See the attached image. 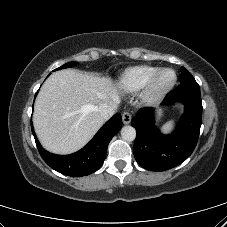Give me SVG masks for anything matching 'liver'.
I'll return each mask as SVG.
<instances>
[{
  "instance_id": "liver-1",
  "label": "liver",
  "mask_w": 227,
  "mask_h": 227,
  "mask_svg": "<svg viewBox=\"0 0 227 227\" xmlns=\"http://www.w3.org/2000/svg\"><path fill=\"white\" fill-rule=\"evenodd\" d=\"M119 93L109 78L73 69L53 73L36 98L33 123L47 150L69 154L82 148L104 124L100 104L117 109Z\"/></svg>"
}]
</instances>
